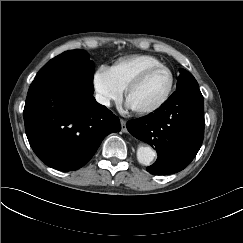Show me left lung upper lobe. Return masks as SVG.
<instances>
[{"label":"left lung upper lobe","instance_id":"1","mask_svg":"<svg viewBox=\"0 0 243 243\" xmlns=\"http://www.w3.org/2000/svg\"><path fill=\"white\" fill-rule=\"evenodd\" d=\"M199 86L195 78L188 71L181 69L180 76L178 77L177 89L183 87Z\"/></svg>","mask_w":243,"mask_h":243}]
</instances>
